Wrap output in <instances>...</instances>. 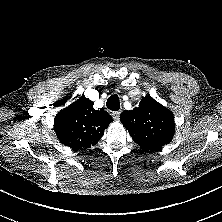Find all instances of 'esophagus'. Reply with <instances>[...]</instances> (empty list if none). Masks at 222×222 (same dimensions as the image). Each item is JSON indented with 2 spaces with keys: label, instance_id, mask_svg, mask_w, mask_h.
Here are the masks:
<instances>
[{
  "label": "esophagus",
  "instance_id": "esophagus-1",
  "mask_svg": "<svg viewBox=\"0 0 222 222\" xmlns=\"http://www.w3.org/2000/svg\"><path fill=\"white\" fill-rule=\"evenodd\" d=\"M120 114H121L120 111H115V112H113V113H112L113 119H114V120H119Z\"/></svg>",
  "mask_w": 222,
  "mask_h": 222
}]
</instances>
